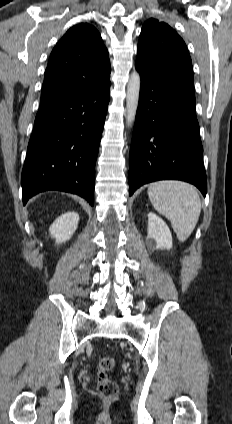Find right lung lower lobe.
<instances>
[{
    "mask_svg": "<svg viewBox=\"0 0 232 424\" xmlns=\"http://www.w3.org/2000/svg\"><path fill=\"white\" fill-rule=\"evenodd\" d=\"M109 90L110 83L40 102L21 177L24 205L46 190L78 194L93 205Z\"/></svg>",
    "mask_w": 232,
    "mask_h": 424,
    "instance_id": "obj_1",
    "label": "right lung lower lobe"
}]
</instances>
